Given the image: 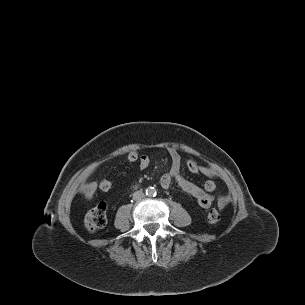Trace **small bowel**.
Returning a JSON list of instances; mask_svg holds the SVG:
<instances>
[{
    "mask_svg": "<svg viewBox=\"0 0 305 305\" xmlns=\"http://www.w3.org/2000/svg\"><path fill=\"white\" fill-rule=\"evenodd\" d=\"M168 154L171 159V167L170 170L160 178V185L164 189H168L172 184H175L182 191L194 197L200 207L209 208L215 199L213 192L216 189L215 180L218 178L216 171L211 167L200 165L192 158H189L186 161L187 168L190 172L194 174L202 173L209 178L204 183L203 187H201L182 175V157L179 151L175 147H169ZM149 164V157L142 155L139 162L140 168L146 169ZM218 201L219 204L223 206L227 202V198L225 196H220Z\"/></svg>",
    "mask_w": 305,
    "mask_h": 305,
    "instance_id": "1",
    "label": "small bowel"
}]
</instances>
